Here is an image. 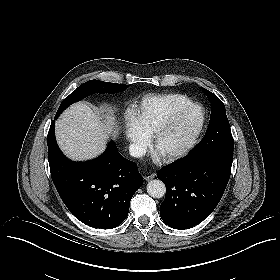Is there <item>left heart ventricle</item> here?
Here are the masks:
<instances>
[{"label": "left heart ventricle", "mask_w": 280, "mask_h": 280, "mask_svg": "<svg viewBox=\"0 0 280 280\" xmlns=\"http://www.w3.org/2000/svg\"><path fill=\"white\" fill-rule=\"evenodd\" d=\"M195 123V114H192L184 121L173 125L163 138L160 147L165 150H173L178 147L185 138L187 132Z\"/></svg>", "instance_id": "obj_1"}]
</instances>
